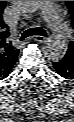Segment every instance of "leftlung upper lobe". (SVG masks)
Segmentation results:
<instances>
[{
	"label": "left lung upper lobe",
	"instance_id": "left-lung-upper-lobe-1",
	"mask_svg": "<svg viewBox=\"0 0 74 122\" xmlns=\"http://www.w3.org/2000/svg\"><path fill=\"white\" fill-rule=\"evenodd\" d=\"M66 2L72 16V27L74 28V1H66ZM68 50L74 52V40L70 42Z\"/></svg>",
	"mask_w": 74,
	"mask_h": 122
}]
</instances>
